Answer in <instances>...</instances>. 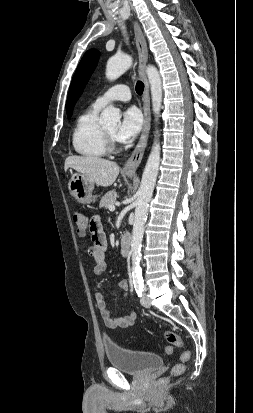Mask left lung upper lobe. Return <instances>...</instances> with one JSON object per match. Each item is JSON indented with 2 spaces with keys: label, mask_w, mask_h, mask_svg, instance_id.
<instances>
[{
  "label": "left lung upper lobe",
  "mask_w": 253,
  "mask_h": 413,
  "mask_svg": "<svg viewBox=\"0 0 253 413\" xmlns=\"http://www.w3.org/2000/svg\"><path fill=\"white\" fill-rule=\"evenodd\" d=\"M100 53L96 49H90L85 53L81 62L79 63L77 70L73 76L68 98L66 101L67 117L70 118L73 113V108L78 98L82 94L91 74L93 73L96 64L98 62Z\"/></svg>",
  "instance_id": "obj_1"
}]
</instances>
